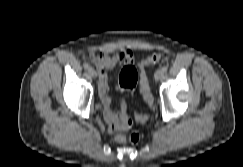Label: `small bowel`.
Masks as SVG:
<instances>
[{"label":"small bowel","mask_w":243,"mask_h":167,"mask_svg":"<svg viewBox=\"0 0 243 167\" xmlns=\"http://www.w3.org/2000/svg\"><path fill=\"white\" fill-rule=\"evenodd\" d=\"M91 60L98 70V93L104 106V118L110 127L125 113L126 104L121 100L117 111L111 108L112 99L109 92L107 71L113 69L117 65L133 64L134 54L131 50H118L113 54H95L92 56ZM137 117L138 116H136V119Z\"/></svg>","instance_id":"1"}]
</instances>
